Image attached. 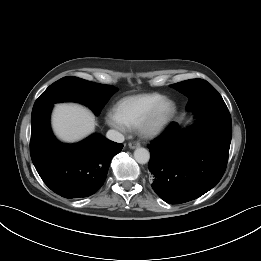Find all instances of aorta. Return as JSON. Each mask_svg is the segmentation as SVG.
Segmentation results:
<instances>
[{
    "instance_id": "obj_1",
    "label": "aorta",
    "mask_w": 261,
    "mask_h": 261,
    "mask_svg": "<svg viewBox=\"0 0 261 261\" xmlns=\"http://www.w3.org/2000/svg\"><path fill=\"white\" fill-rule=\"evenodd\" d=\"M134 159L139 163V164H146L148 163L150 159V153L147 149L145 148H137L134 151Z\"/></svg>"
}]
</instances>
